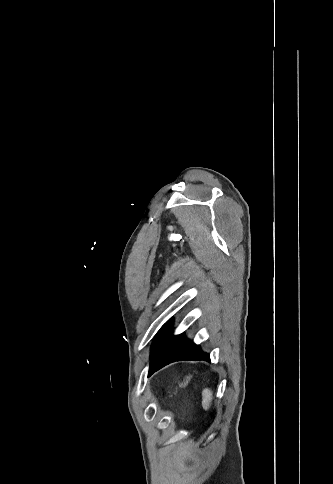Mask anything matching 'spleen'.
Masks as SVG:
<instances>
[{
  "label": "spleen",
  "instance_id": "obj_1",
  "mask_svg": "<svg viewBox=\"0 0 333 484\" xmlns=\"http://www.w3.org/2000/svg\"><path fill=\"white\" fill-rule=\"evenodd\" d=\"M202 396H203L202 405L207 410L209 409L210 403L212 401V391L206 388L203 390Z\"/></svg>",
  "mask_w": 333,
  "mask_h": 484
}]
</instances>
